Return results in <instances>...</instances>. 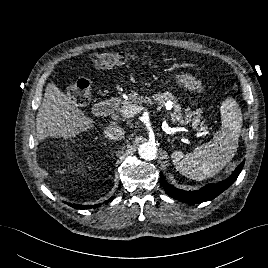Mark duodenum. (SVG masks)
<instances>
[{"mask_svg":"<svg viewBox=\"0 0 268 268\" xmlns=\"http://www.w3.org/2000/svg\"><path fill=\"white\" fill-rule=\"evenodd\" d=\"M118 100L115 98H108L101 103L95 105V113L101 117L110 116L118 107Z\"/></svg>","mask_w":268,"mask_h":268,"instance_id":"410a0bca","label":"duodenum"}]
</instances>
